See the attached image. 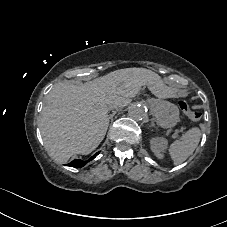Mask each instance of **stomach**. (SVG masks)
Returning a JSON list of instances; mask_svg holds the SVG:
<instances>
[{
    "label": "stomach",
    "instance_id": "1",
    "mask_svg": "<svg viewBox=\"0 0 227 227\" xmlns=\"http://www.w3.org/2000/svg\"><path fill=\"white\" fill-rule=\"evenodd\" d=\"M157 123L162 128L174 127L179 122V108L161 99L149 100Z\"/></svg>",
    "mask_w": 227,
    "mask_h": 227
}]
</instances>
